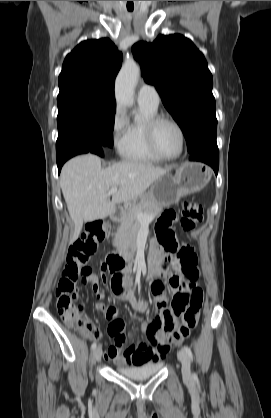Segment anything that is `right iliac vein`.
Here are the masks:
<instances>
[{"mask_svg": "<svg viewBox=\"0 0 271 418\" xmlns=\"http://www.w3.org/2000/svg\"><path fill=\"white\" fill-rule=\"evenodd\" d=\"M102 356V348L101 347H97L94 349L93 351V357L95 361H98L101 359Z\"/></svg>", "mask_w": 271, "mask_h": 418, "instance_id": "right-iliac-vein-1", "label": "right iliac vein"}]
</instances>
